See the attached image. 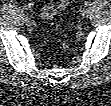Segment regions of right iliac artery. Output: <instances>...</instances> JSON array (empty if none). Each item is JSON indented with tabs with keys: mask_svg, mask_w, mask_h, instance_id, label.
<instances>
[{
	"mask_svg": "<svg viewBox=\"0 0 111 106\" xmlns=\"http://www.w3.org/2000/svg\"><path fill=\"white\" fill-rule=\"evenodd\" d=\"M24 18H25V19L30 18V14H29L28 12H25V14H24Z\"/></svg>",
	"mask_w": 111,
	"mask_h": 106,
	"instance_id": "obj_1",
	"label": "right iliac artery"
}]
</instances>
